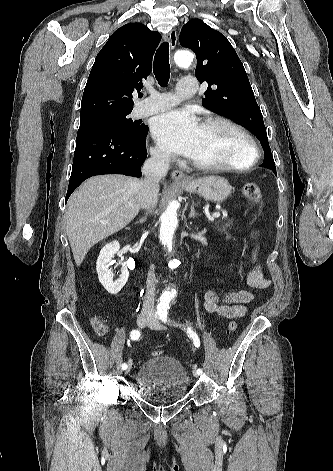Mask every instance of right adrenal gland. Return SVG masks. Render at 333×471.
<instances>
[{"label":"right adrenal gland","instance_id":"obj_1","mask_svg":"<svg viewBox=\"0 0 333 471\" xmlns=\"http://www.w3.org/2000/svg\"><path fill=\"white\" fill-rule=\"evenodd\" d=\"M147 215H148V213H146L144 217H142L139 221H137V223H143V222H145V221H146V218H147Z\"/></svg>","mask_w":333,"mask_h":471}]
</instances>
